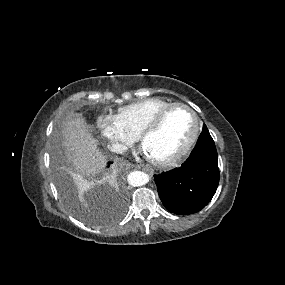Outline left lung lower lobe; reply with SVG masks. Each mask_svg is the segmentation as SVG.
<instances>
[{
  "instance_id": "obj_1",
  "label": "left lung lower lobe",
  "mask_w": 285,
  "mask_h": 285,
  "mask_svg": "<svg viewBox=\"0 0 285 285\" xmlns=\"http://www.w3.org/2000/svg\"><path fill=\"white\" fill-rule=\"evenodd\" d=\"M219 177L217 151L208 129L181 167L154 176L163 205L180 215L203 209L214 196Z\"/></svg>"
}]
</instances>
